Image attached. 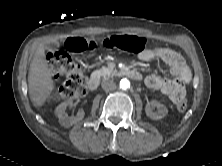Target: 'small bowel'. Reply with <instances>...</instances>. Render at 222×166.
Returning a JSON list of instances; mask_svg holds the SVG:
<instances>
[{
  "instance_id": "small-bowel-1",
  "label": "small bowel",
  "mask_w": 222,
  "mask_h": 166,
  "mask_svg": "<svg viewBox=\"0 0 222 166\" xmlns=\"http://www.w3.org/2000/svg\"><path fill=\"white\" fill-rule=\"evenodd\" d=\"M138 57L142 61L161 59L170 66L174 79L169 80L158 75H150L146 77L145 84L152 90L160 91L177 105L185 97V85L191 81L192 77L184 58L175 50L167 47L143 50Z\"/></svg>"
}]
</instances>
